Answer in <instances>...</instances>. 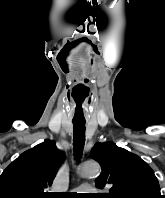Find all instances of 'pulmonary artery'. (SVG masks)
I'll return each instance as SVG.
<instances>
[{"label":"pulmonary artery","instance_id":"pulmonary-artery-1","mask_svg":"<svg viewBox=\"0 0 165 198\" xmlns=\"http://www.w3.org/2000/svg\"><path fill=\"white\" fill-rule=\"evenodd\" d=\"M90 190H92V187L88 185H81L77 188V191H80V192H87Z\"/></svg>","mask_w":165,"mask_h":198}]
</instances>
